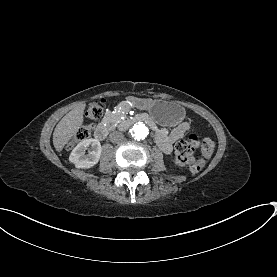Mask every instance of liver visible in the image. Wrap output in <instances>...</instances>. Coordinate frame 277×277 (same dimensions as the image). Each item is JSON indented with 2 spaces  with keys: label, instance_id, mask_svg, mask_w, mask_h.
<instances>
[{
  "label": "liver",
  "instance_id": "obj_1",
  "mask_svg": "<svg viewBox=\"0 0 277 277\" xmlns=\"http://www.w3.org/2000/svg\"><path fill=\"white\" fill-rule=\"evenodd\" d=\"M86 106V103L78 105L69 111L57 124L53 133V145L57 152H62L67 143L82 127Z\"/></svg>",
  "mask_w": 277,
  "mask_h": 277
}]
</instances>
